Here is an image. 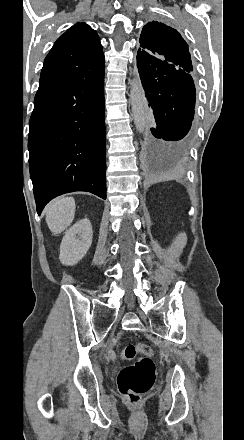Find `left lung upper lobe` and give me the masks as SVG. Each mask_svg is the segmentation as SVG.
<instances>
[{
    "mask_svg": "<svg viewBox=\"0 0 244 440\" xmlns=\"http://www.w3.org/2000/svg\"><path fill=\"white\" fill-rule=\"evenodd\" d=\"M139 41L138 63L193 71L188 45L177 30L152 21L143 27Z\"/></svg>",
    "mask_w": 244,
    "mask_h": 440,
    "instance_id": "obj_1",
    "label": "left lung upper lobe"
}]
</instances>
